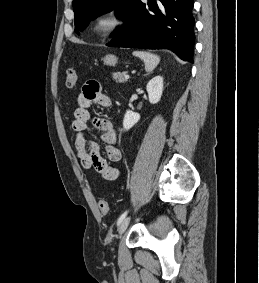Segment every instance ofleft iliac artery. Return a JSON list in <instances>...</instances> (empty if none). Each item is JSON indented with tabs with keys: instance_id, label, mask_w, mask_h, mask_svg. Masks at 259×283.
<instances>
[{
	"instance_id": "left-iliac-artery-1",
	"label": "left iliac artery",
	"mask_w": 259,
	"mask_h": 283,
	"mask_svg": "<svg viewBox=\"0 0 259 283\" xmlns=\"http://www.w3.org/2000/svg\"><path fill=\"white\" fill-rule=\"evenodd\" d=\"M127 214H128V210H126V211L119 217V219H118V221H117V225H120V224H121V222L125 219V217L127 216Z\"/></svg>"
}]
</instances>
